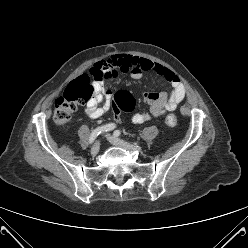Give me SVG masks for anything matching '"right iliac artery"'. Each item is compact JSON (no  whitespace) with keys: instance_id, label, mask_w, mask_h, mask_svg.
Here are the masks:
<instances>
[{"instance_id":"obj_1","label":"right iliac artery","mask_w":248,"mask_h":248,"mask_svg":"<svg viewBox=\"0 0 248 248\" xmlns=\"http://www.w3.org/2000/svg\"><path fill=\"white\" fill-rule=\"evenodd\" d=\"M115 127H116L115 124L109 123V124H106V125H103V126H101V127L96 128V129L93 130L92 133L90 134L89 143H90V144L93 143L94 140L97 138V136L100 135L101 133L111 131V130H113Z\"/></svg>"}]
</instances>
